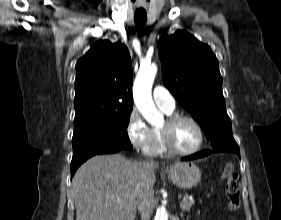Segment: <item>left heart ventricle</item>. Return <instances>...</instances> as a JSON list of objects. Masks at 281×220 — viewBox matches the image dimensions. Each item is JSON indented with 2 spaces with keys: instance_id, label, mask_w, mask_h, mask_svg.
<instances>
[{
  "instance_id": "obj_1",
  "label": "left heart ventricle",
  "mask_w": 281,
  "mask_h": 220,
  "mask_svg": "<svg viewBox=\"0 0 281 220\" xmlns=\"http://www.w3.org/2000/svg\"><path fill=\"white\" fill-rule=\"evenodd\" d=\"M171 137L174 146L183 151L193 149L199 141L197 129L191 122L185 120L178 122L173 127Z\"/></svg>"
}]
</instances>
